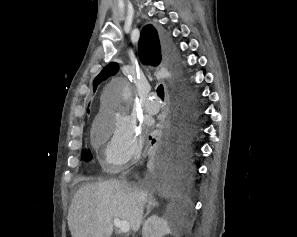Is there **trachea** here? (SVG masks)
<instances>
[{"instance_id":"1","label":"trachea","mask_w":297,"mask_h":237,"mask_svg":"<svg viewBox=\"0 0 297 237\" xmlns=\"http://www.w3.org/2000/svg\"><path fill=\"white\" fill-rule=\"evenodd\" d=\"M157 94L158 96L163 99L164 98V88H163V85H159L158 88H157Z\"/></svg>"}]
</instances>
